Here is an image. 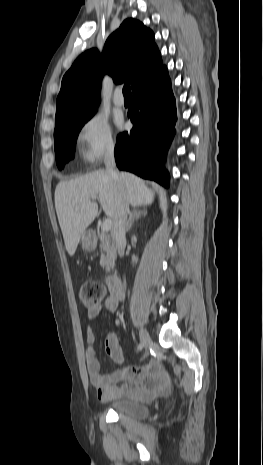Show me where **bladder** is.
<instances>
[{"instance_id":"bladder-1","label":"bladder","mask_w":263,"mask_h":465,"mask_svg":"<svg viewBox=\"0 0 263 465\" xmlns=\"http://www.w3.org/2000/svg\"><path fill=\"white\" fill-rule=\"evenodd\" d=\"M106 408L118 415L136 420L148 417L149 408L146 404L133 399H117L106 403Z\"/></svg>"}]
</instances>
